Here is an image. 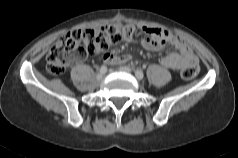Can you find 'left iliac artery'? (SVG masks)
I'll use <instances>...</instances> for the list:
<instances>
[{"instance_id":"44dca946","label":"left iliac artery","mask_w":238,"mask_h":158,"mask_svg":"<svg viewBox=\"0 0 238 158\" xmlns=\"http://www.w3.org/2000/svg\"><path fill=\"white\" fill-rule=\"evenodd\" d=\"M135 75L138 79H143V77H144V74L141 70H136Z\"/></svg>"}]
</instances>
